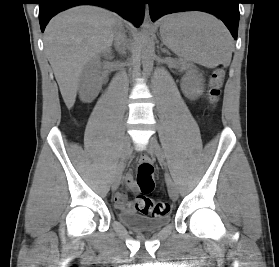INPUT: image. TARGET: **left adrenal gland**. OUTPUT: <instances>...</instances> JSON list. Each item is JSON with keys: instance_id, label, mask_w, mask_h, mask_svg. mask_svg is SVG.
<instances>
[{"instance_id": "a2214340", "label": "left adrenal gland", "mask_w": 279, "mask_h": 267, "mask_svg": "<svg viewBox=\"0 0 279 267\" xmlns=\"http://www.w3.org/2000/svg\"><path fill=\"white\" fill-rule=\"evenodd\" d=\"M161 50H162V52H164V53L170 54L169 51H168L167 49H165V48H163V49H161Z\"/></svg>"}]
</instances>
